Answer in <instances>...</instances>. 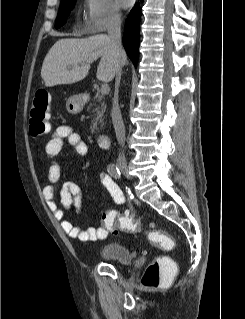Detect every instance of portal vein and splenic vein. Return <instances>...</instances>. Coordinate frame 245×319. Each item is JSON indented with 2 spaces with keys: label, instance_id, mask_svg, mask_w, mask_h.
<instances>
[{
  "label": "portal vein and splenic vein",
  "instance_id": "18ae733b",
  "mask_svg": "<svg viewBox=\"0 0 245 319\" xmlns=\"http://www.w3.org/2000/svg\"><path fill=\"white\" fill-rule=\"evenodd\" d=\"M109 90H110V88H109V85L107 83H104L101 85V94L102 95L108 94Z\"/></svg>",
  "mask_w": 245,
  "mask_h": 319
}]
</instances>
